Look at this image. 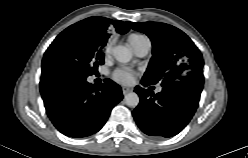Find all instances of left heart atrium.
<instances>
[{
	"mask_svg": "<svg viewBox=\"0 0 248 158\" xmlns=\"http://www.w3.org/2000/svg\"><path fill=\"white\" fill-rule=\"evenodd\" d=\"M135 75V71L128 67H118L111 74L114 81L123 85L131 84Z\"/></svg>",
	"mask_w": 248,
	"mask_h": 158,
	"instance_id": "obj_1",
	"label": "left heart atrium"
}]
</instances>
